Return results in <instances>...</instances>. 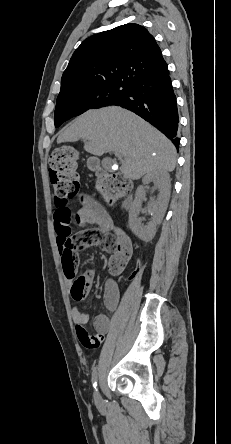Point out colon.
I'll list each match as a JSON object with an SVG mask.
<instances>
[{
    "label": "colon",
    "instance_id": "1",
    "mask_svg": "<svg viewBox=\"0 0 231 444\" xmlns=\"http://www.w3.org/2000/svg\"><path fill=\"white\" fill-rule=\"evenodd\" d=\"M76 152L71 147H62L55 151L49 161V176L54 188L56 200H66L78 193L79 182L76 172ZM100 191L112 200L128 190L130 181L123 175H111L103 178L99 184ZM77 254L66 252L63 256V264L70 269H76ZM128 261L124 251H116L112 254L109 268L112 274L120 273ZM90 288V275L78 276L72 284L71 293L75 299L83 298Z\"/></svg>",
    "mask_w": 231,
    "mask_h": 444
}]
</instances>
